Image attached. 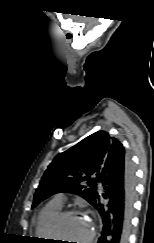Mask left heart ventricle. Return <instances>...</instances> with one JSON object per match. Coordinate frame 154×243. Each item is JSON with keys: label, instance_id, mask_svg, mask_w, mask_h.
Returning <instances> with one entry per match:
<instances>
[{"label": "left heart ventricle", "instance_id": "left-heart-ventricle-1", "mask_svg": "<svg viewBox=\"0 0 154 243\" xmlns=\"http://www.w3.org/2000/svg\"><path fill=\"white\" fill-rule=\"evenodd\" d=\"M90 231V223L88 219L82 215H71L66 217L59 225L57 235L63 243L76 241V243H83Z\"/></svg>", "mask_w": 154, "mask_h": 243}]
</instances>
